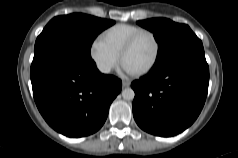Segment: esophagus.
<instances>
[{"label": "esophagus", "instance_id": "obj_1", "mask_svg": "<svg viewBox=\"0 0 238 158\" xmlns=\"http://www.w3.org/2000/svg\"><path fill=\"white\" fill-rule=\"evenodd\" d=\"M122 86L123 87H129L130 86V82L129 81H123L122 82Z\"/></svg>", "mask_w": 238, "mask_h": 158}]
</instances>
